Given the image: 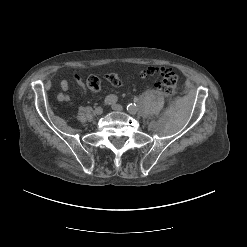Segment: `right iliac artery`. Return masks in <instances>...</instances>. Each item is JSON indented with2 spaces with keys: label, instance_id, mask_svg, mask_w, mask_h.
I'll return each mask as SVG.
<instances>
[{
  "label": "right iliac artery",
  "instance_id": "right-iliac-artery-1",
  "mask_svg": "<svg viewBox=\"0 0 247 247\" xmlns=\"http://www.w3.org/2000/svg\"><path fill=\"white\" fill-rule=\"evenodd\" d=\"M117 100H118V97L116 95L110 94V95L106 96L104 102L107 105H111V104H115L117 102Z\"/></svg>",
  "mask_w": 247,
  "mask_h": 247
}]
</instances>
